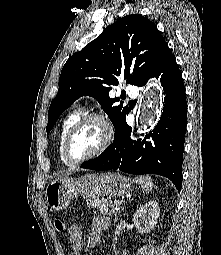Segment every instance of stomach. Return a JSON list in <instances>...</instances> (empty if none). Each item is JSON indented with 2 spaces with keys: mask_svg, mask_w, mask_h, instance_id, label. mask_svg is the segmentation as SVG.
Wrapping results in <instances>:
<instances>
[{
  "mask_svg": "<svg viewBox=\"0 0 221 255\" xmlns=\"http://www.w3.org/2000/svg\"><path fill=\"white\" fill-rule=\"evenodd\" d=\"M133 183L120 173L88 174L80 178L58 177L46 187L45 199L53 210L67 208L74 197L90 203L103 196L118 197L130 193Z\"/></svg>",
  "mask_w": 221,
  "mask_h": 255,
  "instance_id": "stomach-1",
  "label": "stomach"
}]
</instances>
